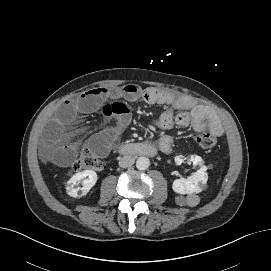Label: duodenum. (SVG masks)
Wrapping results in <instances>:
<instances>
[{
  "instance_id": "obj_1",
  "label": "duodenum",
  "mask_w": 271,
  "mask_h": 271,
  "mask_svg": "<svg viewBox=\"0 0 271 271\" xmlns=\"http://www.w3.org/2000/svg\"><path fill=\"white\" fill-rule=\"evenodd\" d=\"M118 151L122 154L132 153L138 156H154L157 153L155 146L150 144L138 145L132 149L126 145H121Z\"/></svg>"
}]
</instances>
